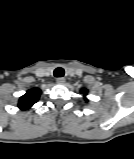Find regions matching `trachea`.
Returning <instances> with one entry per match:
<instances>
[{
	"mask_svg": "<svg viewBox=\"0 0 134 159\" xmlns=\"http://www.w3.org/2000/svg\"><path fill=\"white\" fill-rule=\"evenodd\" d=\"M64 73H65V71L62 67H58L54 70V76L55 77H63Z\"/></svg>",
	"mask_w": 134,
	"mask_h": 159,
	"instance_id": "trachea-1",
	"label": "trachea"
}]
</instances>
